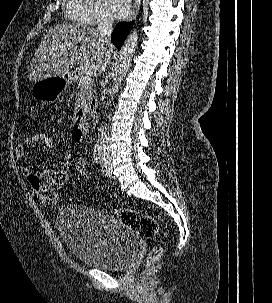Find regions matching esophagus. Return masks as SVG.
I'll return each mask as SVG.
<instances>
[{
    "label": "esophagus",
    "instance_id": "1",
    "mask_svg": "<svg viewBox=\"0 0 272 303\" xmlns=\"http://www.w3.org/2000/svg\"><path fill=\"white\" fill-rule=\"evenodd\" d=\"M139 7H140V0H135L133 9H132L130 15L128 16V18L126 19V21L132 20L137 15V13L139 11Z\"/></svg>",
    "mask_w": 272,
    "mask_h": 303
}]
</instances>
